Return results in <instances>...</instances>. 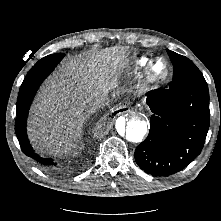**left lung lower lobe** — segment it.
Returning <instances> with one entry per match:
<instances>
[{"instance_id": "obj_1", "label": "left lung lower lobe", "mask_w": 221, "mask_h": 221, "mask_svg": "<svg viewBox=\"0 0 221 221\" xmlns=\"http://www.w3.org/2000/svg\"><path fill=\"white\" fill-rule=\"evenodd\" d=\"M152 115L147 138L137 146L135 160L146 173L174 174L201 152L209 129V91L205 81L150 91Z\"/></svg>"}]
</instances>
